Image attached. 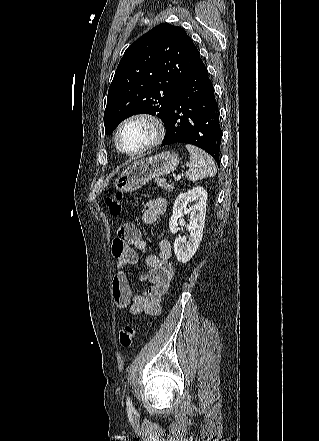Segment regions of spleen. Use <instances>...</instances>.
<instances>
[{
	"instance_id": "1",
	"label": "spleen",
	"mask_w": 319,
	"mask_h": 441,
	"mask_svg": "<svg viewBox=\"0 0 319 441\" xmlns=\"http://www.w3.org/2000/svg\"><path fill=\"white\" fill-rule=\"evenodd\" d=\"M190 153L191 166L186 172L190 181H198L206 177H213L216 174V167L211 157L194 145H186Z\"/></svg>"
}]
</instances>
